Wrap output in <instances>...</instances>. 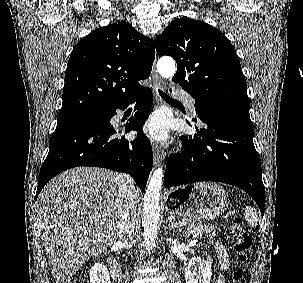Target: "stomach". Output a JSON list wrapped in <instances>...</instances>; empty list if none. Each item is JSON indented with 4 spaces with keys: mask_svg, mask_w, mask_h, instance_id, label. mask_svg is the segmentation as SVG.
<instances>
[{
    "mask_svg": "<svg viewBox=\"0 0 303 283\" xmlns=\"http://www.w3.org/2000/svg\"><path fill=\"white\" fill-rule=\"evenodd\" d=\"M171 214L192 219H213L224 213L228 194L215 183H196L170 190L165 198Z\"/></svg>",
    "mask_w": 303,
    "mask_h": 283,
    "instance_id": "obj_1",
    "label": "stomach"
}]
</instances>
